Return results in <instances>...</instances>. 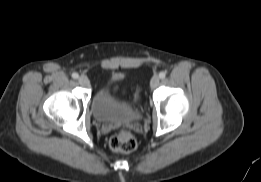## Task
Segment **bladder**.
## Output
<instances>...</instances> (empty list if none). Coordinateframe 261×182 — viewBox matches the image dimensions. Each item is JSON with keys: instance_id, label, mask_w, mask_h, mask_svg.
Instances as JSON below:
<instances>
[{"instance_id": "31cf9c89", "label": "bladder", "mask_w": 261, "mask_h": 182, "mask_svg": "<svg viewBox=\"0 0 261 182\" xmlns=\"http://www.w3.org/2000/svg\"><path fill=\"white\" fill-rule=\"evenodd\" d=\"M115 79V75L111 76L105 84L98 88L92 98V113L99 122H129L138 115V111L130 106L127 99L116 98L108 93V85Z\"/></svg>"}]
</instances>
